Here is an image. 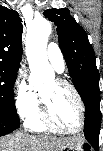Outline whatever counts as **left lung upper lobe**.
<instances>
[{"instance_id":"left-lung-upper-lobe-1","label":"left lung upper lobe","mask_w":103,"mask_h":151,"mask_svg":"<svg viewBox=\"0 0 103 151\" xmlns=\"http://www.w3.org/2000/svg\"><path fill=\"white\" fill-rule=\"evenodd\" d=\"M44 16L57 26L59 47L64 54L73 84L82 97L88 79L100 78L94 50L87 34L67 8L46 10Z\"/></svg>"}]
</instances>
